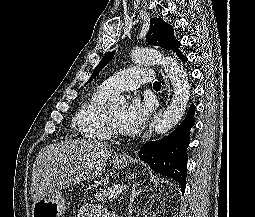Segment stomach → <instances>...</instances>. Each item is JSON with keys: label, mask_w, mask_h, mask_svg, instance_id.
<instances>
[{"label": "stomach", "mask_w": 255, "mask_h": 217, "mask_svg": "<svg viewBox=\"0 0 255 217\" xmlns=\"http://www.w3.org/2000/svg\"><path fill=\"white\" fill-rule=\"evenodd\" d=\"M127 158L123 155L112 157L111 163L115 169L121 170L127 166ZM67 203L61 193L53 197H45L36 201L32 207V217H63Z\"/></svg>", "instance_id": "0dacf381"}]
</instances>
